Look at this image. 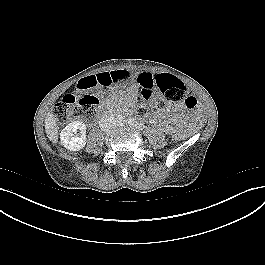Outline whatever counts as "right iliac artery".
Here are the masks:
<instances>
[{
	"instance_id": "obj_1",
	"label": "right iliac artery",
	"mask_w": 265,
	"mask_h": 265,
	"mask_svg": "<svg viewBox=\"0 0 265 265\" xmlns=\"http://www.w3.org/2000/svg\"><path fill=\"white\" fill-rule=\"evenodd\" d=\"M123 119H124L123 116H120V115H119V116L117 117V121H118L119 123L122 122Z\"/></svg>"
}]
</instances>
